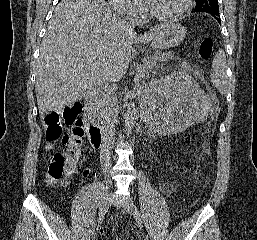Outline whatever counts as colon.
Segmentation results:
<instances>
[{
  "label": "colon",
  "instance_id": "1",
  "mask_svg": "<svg viewBox=\"0 0 257 240\" xmlns=\"http://www.w3.org/2000/svg\"><path fill=\"white\" fill-rule=\"evenodd\" d=\"M214 41L204 38L199 45V55L207 60L213 54ZM47 141H61L63 151L56 152L47 169L50 183L67 184L68 180L81 171L80 156L84 142L82 107L80 104L67 106L62 112H50L45 117ZM67 128L64 133V128Z\"/></svg>",
  "mask_w": 257,
  "mask_h": 240
}]
</instances>
